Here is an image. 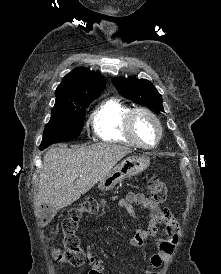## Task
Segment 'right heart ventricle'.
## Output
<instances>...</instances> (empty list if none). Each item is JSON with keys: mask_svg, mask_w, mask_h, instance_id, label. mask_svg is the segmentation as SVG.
<instances>
[{"mask_svg": "<svg viewBox=\"0 0 221 274\" xmlns=\"http://www.w3.org/2000/svg\"><path fill=\"white\" fill-rule=\"evenodd\" d=\"M132 107L117 97L101 101L91 115L95 134L104 141L137 146L126 130V118Z\"/></svg>", "mask_w": 221, "mask_h": 274, "instance_id": "obj_1", "label": "right heart ventricle"}]
</instances>
